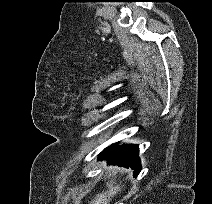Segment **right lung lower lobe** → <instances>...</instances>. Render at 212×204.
Listing matches in <instances>:
<instances>
[{
  "label": "right lung lower lobe",
  "instance_id": "98d812e1",
  "mask_svg": "<svg viewBox=\"0 0 212 204\" xmlns=\"http://www.w3.org/2000/svg\"><path fill=\"white\" fill-rule=\"evenodd\" d=\"M139 148L137 145L116 146L111 145L107 147L100 154V160H107L109 164L131 167L134 169V176L136 177L141 171V164L138 158Z\"/></svg>",
  "mask_w": 212,
  "mask_h": 204
}]
</instances>
